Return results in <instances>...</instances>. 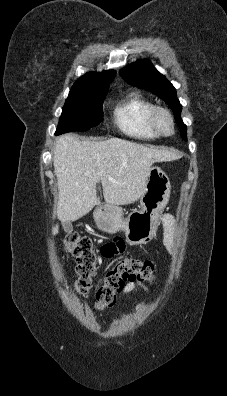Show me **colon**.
<instances>
[{"label":"colon","mask_w":227,"mask_h":396,"mask_svg":"<svg viewBox=\"0 0 227 396\" xmlns=\"http://www.w3.org/2000/svg\"><path fill=\"white\" fill-rule=\"evenodd\" d=\"M65 248L77 261L78 279L75 288L78 293L85 294L91 286L98 258L93 242L87 236L72 232L65 238ZM154 280L155 270L151 261L125 257L106 272L103 284L96 292L95 307L103 310L114 305L117 295L128 283Z\"/></svg>","instance_id":"1"}]
</instances>
